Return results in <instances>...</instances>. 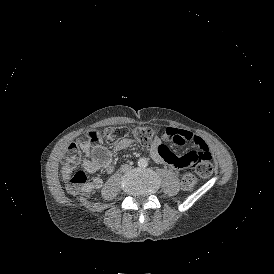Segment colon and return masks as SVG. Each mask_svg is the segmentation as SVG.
<instances>
[{"mask_svg":"<svg viewBox=\"0 0 274 274\" xmlns=\"http://www.w3.org/2000/svg\"><path fill=\"white\" fill-rule=\"evenodd\" d=\"M124 133L125 131L121 127H109L104 131L101 141L106 143H114ZM130 135L140 142L148 143L154 138L155 131L154 129L147 127H132L130 129ZM82 139V137H79L76 145L70 144L68 146L65 159L61 163L62 175L68 181L69 188L74 192H78L84 187H89L88 176L83 170L78 168V149H92L93 143L96 142V135L86 134L85 140ZM181 182L186 189H192L199 182V179L198 176L191 171L190 173L183 175Z\"/></svg>","mask_w":274,"mask_h":274,"instance_id":"5ec220e1","label":"colon"}]
</instances>
